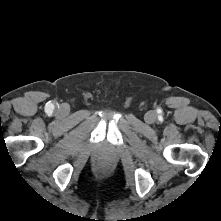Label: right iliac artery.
Segmentation results:
<instances>
[{"label":"right iliac artery","mask_w":221,"mask_h":221,"mask_svg":"<svg viewBox=\"0 0 221 221\" xmlns=\"http://www.w3.org/2000/svg\"><path fill=\"white\" fill-rule=\"evenodd\" d=\"M53 109H54V106H53L52 104H50V105L48 106L47 111H48L49 113H52V112H53Z\"/></svg>","instance_id":"right-iliac-artery-1"}]
</instances>
